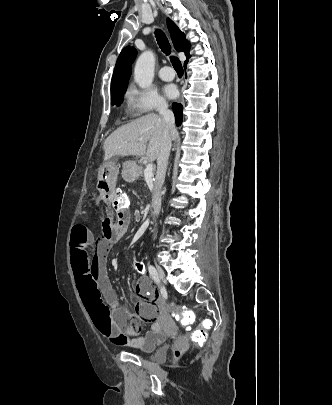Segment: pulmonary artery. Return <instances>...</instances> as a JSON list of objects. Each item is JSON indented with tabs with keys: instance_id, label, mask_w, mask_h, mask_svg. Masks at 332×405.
Instances as JSON below:
<instances>
[{
	"instance_id": "obj_1",
	"label": "pulmonary artery",
	"mask_w": 332,
	"mask_h": 405,
	"mask_svg": "<svg viewBox=\"0 0 332 405\" xmlns=\"http://www.w3.org/2000/svg\"><path fill=\"white\" fill-rule=\"evenodd\" d=\"M159 77L164 81H171L175 78L174 70L169 66H163L159 69Z\"/></svg>"
}]
</instances>
